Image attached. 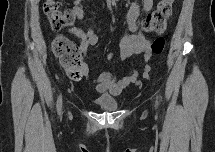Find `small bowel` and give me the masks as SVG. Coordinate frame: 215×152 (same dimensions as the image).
<instances>
[{"label":"small bowel","instance_id":"small-bowel-1","mask_svg":"<svg viewBox=\"0 0 215 152\" xmlns=\"http://www.w3.org/2000/svg\"><path fill=\"white\" fill-rule=\"evenodd\" d=\"M153 0H143L142 7L145 12H150L153 8ZM73 11L76 13L78 20L84 19V10L81 6V1H75ZM140 13V4L134 1L130 4L127 11V26L130 34L124 36L119 44L117 52H109L106 57L108 60L115 58L125 60L132 55L144 54L148 56L150 53L149 40L138 29V17ZM80 42V48L83 55H87V50L90 46H95L99 43V36L94 29L88 28L86 31L81 30L76 26H72L68 30ZM144 79H148L150 66L145 64L141 69ZM82 76L89 78V70L84 63ZM96 89L101 94L117 95L123 92L130 85H141L142 81L139 79V71L135 68L131 69L129 74L118 79L111 71L102 72L98 78L94 80Z\"/></svg>","mask_w":215,"mask_h":152}]
</instances>
